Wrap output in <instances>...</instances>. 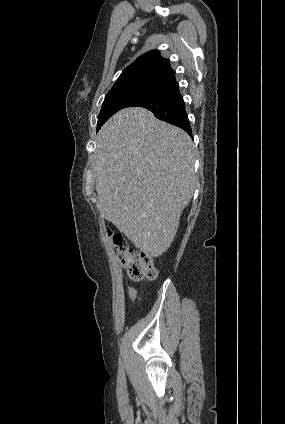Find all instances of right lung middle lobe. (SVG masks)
Returning <instances> with one entry per match:
<instances>
[{"mask_svg":"<svg viewBox=\"0 0 285 424\" xmlns=\"http://www.w3.org/2000/svg\"><path fill=\"white\" fill-rule=\"evenodd\" d=\"M163 84L142 82L112 88L105 96L98 116L97 131L117 111L126 108L132 101L159 90Z\"/></svg>","mask_w":285,"mask_h":424,"instance_id":"obj_1","label":"right lung middle lobe"}]
</instances>
